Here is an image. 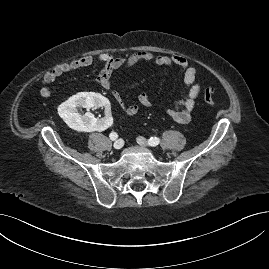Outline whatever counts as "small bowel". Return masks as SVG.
<instances>
[{
  "instance_id": "c3829d8e",
  "label": "small bowel",
  "mask_w": 269,
  "mask_h": 269,
  "mask_svg": "<svg viewBox=\"0 0 269 269\" xmlns=\"http://www.w3.org/2000/svg\"><path fill=\"white\" fill-rule=\"evenodd\" d=\"M96 58L101 63V69L97 76L99 84L103 89L112 91L115 101L128 116L136 115L140 106L150 108L153 106V103L146 92H142L138 95L137 103H126L120 93L112 88L111 77L115 70L132 68L144 62H151L162 67L179 68L183 73L186 94L178 99L172 108L167 109V114L179 124H188L191 121L192 113L201 92L202 85L196 81L198 75L197 68L191 66L185 57L180 55L168 56L153 54L147 51H137L124 57H115L110 53L103 52L98 54ZM93 61L94 58L92 56L86 55L71 62L59 64L47 71L41 79L39 88L40 95L44 98H50L52 92L49 85L51 83L66 73L90 66Z\"/></svg>"
}]
</instances>
